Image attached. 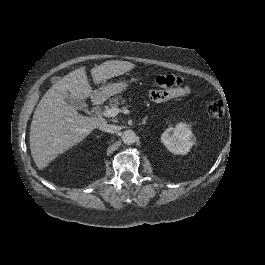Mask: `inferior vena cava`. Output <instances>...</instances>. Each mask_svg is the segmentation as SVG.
I'll return each instance as SVG.
<instances>
[{
  "label": "inferior vena cava",
  "mask_w": 265,
  "mask_h": 265,
  "mask_svg": "<svg viewBox=\"0 0 265 265\" xmlns=\"http://www.w3.org/2000/svg\"><path fill=\"white\" fill-rule=\"evenodd\" d=\"M99 129L108 133H116L119 131V127L116 125H110V124H101L99 126Z\"/></svg>",
  "instance_id": "602c4592"
}]
</instances>
